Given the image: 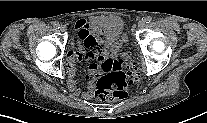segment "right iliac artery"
I'll return each instance as SVG.
<instances>
[{
  "label": "right iliac artery",
  "instance_id": "obj_1",
  "mask_svg": "<svg viewBox=\"0 0 207 123\" xmlns=\"http://www.w3.org/2000/svg\"><path fill=\"white\" fill-rule=\"evenodd\" d=\"M53 25H54V27H56V28H58V29L60 28V25H59L58 22H54Z\"/></svg>",
  "mask_w": 207,
  "mask_h": 123
}]
</instances>
